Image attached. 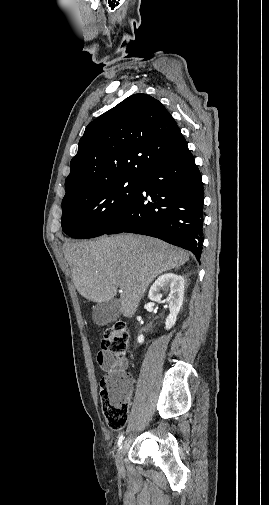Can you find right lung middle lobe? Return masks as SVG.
Wrapping results in <instances>:
<instances>
[{
    "mask_svg": "<svg viewBox=\"0 0 269 505\" xmlns=\"http://www.w3.org/2000/svg\"><path fill=\"white\" fill-rule=\"evenodd\" d=\"M138 190V179H122L88 188L62 201L64 233L77 239L105 234L125 213Z\"/></svg>",
    "mask_w": 269,
    "mask_h": 505,
    "instance_id": "right-lung-middle-lobe-1",
    "label": "right lung middle lobe"
}]
</instances>
